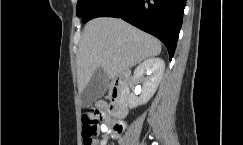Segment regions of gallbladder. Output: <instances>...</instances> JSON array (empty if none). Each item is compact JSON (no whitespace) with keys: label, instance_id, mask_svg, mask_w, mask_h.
Instances as JSON below:
<instances>
[{"label":"gallbladder","instance_id":"bac80fb5","mask_svg":"<svg viewBox=\"0 0 243 145\" xmlns=\"http://www.w3.org/2000/svg\"><path fill=\"white\" fill-rule=\"evenodd\" d=\"M108 87V76L102 68L96 69L90 81L81 93L83 107L90 106L95 100L102 97Z\"/></svg>","mask_w":243,"mask_h":145}]
</instances>
